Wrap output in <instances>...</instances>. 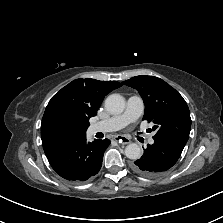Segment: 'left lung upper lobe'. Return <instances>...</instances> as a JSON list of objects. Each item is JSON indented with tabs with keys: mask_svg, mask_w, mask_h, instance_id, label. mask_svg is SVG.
Masks as SVG:
<instances>
[{
	"mask_svg": "<svg viewBox=\"0 0 223 223\" xmlns=\"http://www.w3.org/2000/svg\"><path fill=\"white\" fill-rule=\"evenodd\" d=\"M136 89L145 104L143 120L154 123L153 139H172L186 144L191 128L189 108L169 84L154 76H136L123 82Z\"/></svg>",
	"mask_w": 223,
	"mask_h": 223,
	"instance_id": "5c2ea615",
	"label": "left lung upper lobe"
}]
</instances>
